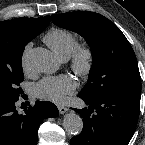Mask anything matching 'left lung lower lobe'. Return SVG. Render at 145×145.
I'll return each mask as SVG.
<instances>
[{"label":"left lung lower lobe","mask_w":145,"mask_h":145,"mask_svg":"<svg viewBox=\"0 0 145 145\" xmlns=\"http://www.w3.org/2000/svg\"><path fill=\"white\" fill-rule=\"evenodd\" d=\"M88 107L75 109L83 118L82 132L70 145H128L137 126L141 91L90 98L78 95Z\"/></svg>","instance_id":"1"}]
</instances>
